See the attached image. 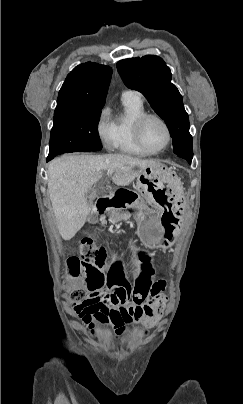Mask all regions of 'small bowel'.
<instances>
[{
  "mask_svg": "<svg viewBox=\"0 0 243 404\" xmlns=\"http://www.w3.org/2000/svg\"><path fill=\"white\" fill-rule=\"evenodd\" d=\"M137 261L141 268L133 284L118 261L113 262L107 273L95 274L87 282L89 295L74 306V311L92 333L96 324H100L113 329L118 337L131 323L151 327L161 318L166 284L154 280L150 253L137 252ZM135 292H142L145 297L141 303L131 304L129 298Z\"/></svg>",
  "mask_w": 243,
  "mask_h": 404,
  "instance_id": "1",
  "label": "small bowel"
}]
</instances>
